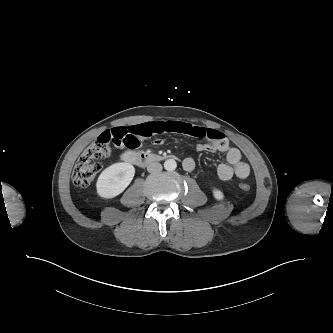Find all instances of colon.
<instances>
[{"label": "colon", "instance_id": "1", "mask_svg": "<svg viewBox=\"0 0 333 333\" xmlns=\"http://www.w3.org/2000/svg\"><path fill=\"white\" fill-rule=\"evenodd\" d=\"M111 155L109 141L97 139L79 157L73 173L72 179L77 186L85 187L89 185L101 169V160ZM243 191H249L250 187L246 183H240Z\"/></svg>", "mask_w": 333, "mask_h": 333}]
</instances>
